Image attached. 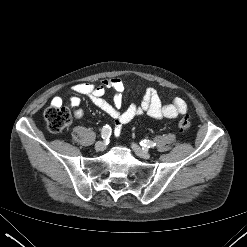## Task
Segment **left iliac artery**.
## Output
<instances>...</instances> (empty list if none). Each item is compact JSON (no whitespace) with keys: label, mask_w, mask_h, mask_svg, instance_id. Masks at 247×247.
Listing matches in <instances>:
<instances>
[{"label":"left iliac artery","mask_w":247,"mask_h":247,"mask_svg":"<svg viewBox=\"0 0 247 247\" xmlns=\"http://www.w3.org/2000/svg\"><path fill=\"white\" fill-rule=\"evenodd\" d=\"M140 145L144 148H154L156 146V143L150 140H142L140 142Z\"/></svg>","instance_id":"obj_1"}]
</instances>
